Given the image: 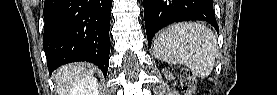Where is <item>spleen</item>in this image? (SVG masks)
Masks as SVG:
<instances>
[{
    "label": "spleen",
    "mask_w": 277,
    "mask_h": 95,
    "mask_svg": "<svg viewBox=\"0 0 277 95\" xmlns=\"http://www.w3.org/2000/svg\"><path fill=\"white\" fill-rule=\"evenodd\" d=\"M217 40L213 32L195 22H181L166 28L155 40L153 53L168 64L188 67L198 77L210 75L215 65Z\"/></svg>",
    "instance_id": "obj_1"
}]
</instances>
